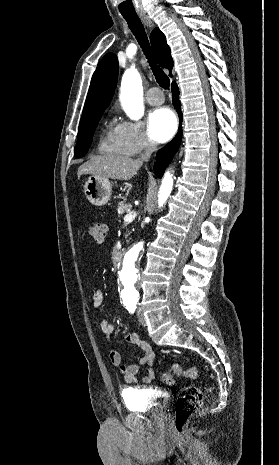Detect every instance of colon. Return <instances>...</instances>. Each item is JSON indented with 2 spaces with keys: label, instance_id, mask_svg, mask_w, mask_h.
<instances>
[{
  "label": "colon",
  "instance_id": "5ec220e1",
  "mask_svg": "<svg viewBox=\"0 0 279 465\" xmlns=\"http://www.w3.org/2000/svg\"><path fill=\"white\" fill-rule=\"evenodd\" d=\"M89 232L94 240L100 243L106 238L107 227L102 222H94L91 224ZM175 376L195 380L198 371L195 366L183 367L175 363L169 372L161 375V379L166 385L172 386L175 383ZM202 399L201 388L197 385H189L182 391L175 404L173 427L176 432H183L189 417L200 408Z\"/></svg>",
  "mask_w": 279,
  "mask_h": 465
}]
</instances>
